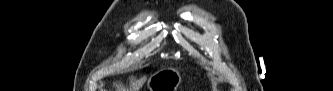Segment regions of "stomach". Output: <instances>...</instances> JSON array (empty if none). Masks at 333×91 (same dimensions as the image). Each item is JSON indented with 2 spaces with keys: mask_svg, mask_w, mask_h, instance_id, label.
Listing matches in <instances>:
<instances>
[{
  "mask_svg": "<svg viewBox=\"0 0 333 91\" xmlns=\"http://www.w3.org/2000/svg\"><path fill=\"white\" fill-rule=\"evenodd\" d=\"M182 82L180 72L174 68H164L153 73L146 83L148 91H177Z\"/></svg>",
  "mask_w": 333,
  "mask_h": 91,
  "instance_id": "1",
  "label": "stomach"
}]
</instances>
